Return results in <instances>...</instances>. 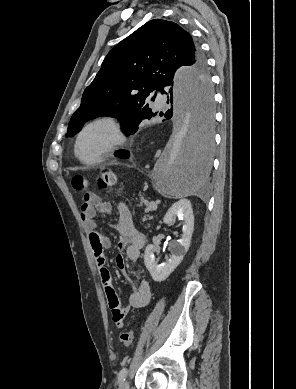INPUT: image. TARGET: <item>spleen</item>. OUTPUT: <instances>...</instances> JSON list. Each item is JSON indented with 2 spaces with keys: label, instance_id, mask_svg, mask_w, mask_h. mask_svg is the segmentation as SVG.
Returning a JSON list of instances; mask_svg holds the SVG:
<instances>
[{
  "label": "spleen",
  "instance_id": "obj_1",
  "mask_svg": "<svg viewBox=\"0 0 296 389\" xmlns=\"http://www.w3.org/2000/svg\"><path fill=\"white\" fill-rule=\"evenodd\" d=\"M192 179H194V178H192ZM191 189H192V191L195 189V185L193 183H192Z\"/></svg>",
  "mask_w": 296,
  "mask_h": 389
}]
</instances>
